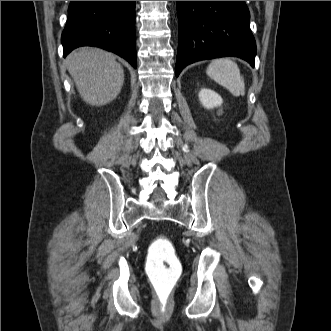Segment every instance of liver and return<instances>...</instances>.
Segmentation results:
<instances>
[{"instance_id":"obj_1","label":"liver","mask_w":331,"mask_h":331,"mask_svg":"<svg viewBox=\"0 0 331 331\" xmlns=\"http://www.w3.org/2000/svg\"><path fill=\"white\" fill-rule=\"evenodd\" d=\"M66 65L81 98L89 105H106L121 91L124 70L110 52L78 48L67 56Z\"/></svg>"}]
</instances>
